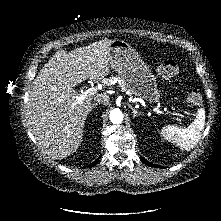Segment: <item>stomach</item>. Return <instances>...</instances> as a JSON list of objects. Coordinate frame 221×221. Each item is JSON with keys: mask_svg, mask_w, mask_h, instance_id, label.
I'll use <instances>...</instances> for the list:
<instances>
[{"mask_svg": "<svg viewBox=\"0 0 221 221\" xmlns=\"http://www.w3.org/2000/svg\"><path fill=\"white\" fill-rule=\"evenodd\" d=\"M108 54L110 65L119 74L130 94L141 97L150 104L160 101V91L154 75L132 46L123 40H113Z\"/></svg>", "mask_w": 221, "mask_h": 221, "instance_id": "stomach-1", "label": "stomach"}]
</instances>
